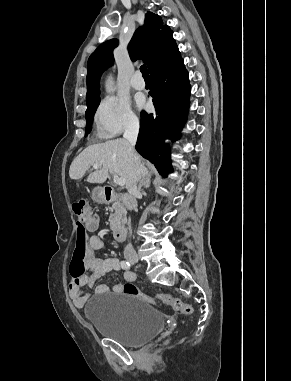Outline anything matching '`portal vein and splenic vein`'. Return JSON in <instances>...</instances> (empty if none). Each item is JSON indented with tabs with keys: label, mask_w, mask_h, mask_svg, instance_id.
I'll list each match as a JSON object with an SVG mask.
<instances>
[{
	"label": "portal vein and splenic vein",
	"mask_w": 291,
	"mask_h": 381,
	"mask_svg": "<svg viewBox=\"0 0 291 381\" xmlns=\"http://www.w3.org/2000/svg\"><path fill=\"white\" fill-rule=\"evenodd\" d=\"M99 164H94L93 165V168L94 169H98L99 168ZM114 182L119 185V186H124L125 185V180L123 178H120L118 175H114Z\"/></svg>",
	"instance_id": "18ae733b"
}]
</instances>
